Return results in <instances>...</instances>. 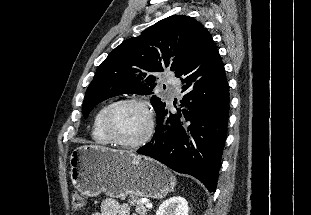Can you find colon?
<instances>
[{"label":"colon","instance_id":"colon-1","mask_svg":"<svg viewBox=\"0 0 311 215\" xmlns=\"http://www.w3.org/2000/svg\"><path fill=\"white\" fill-rule=\"evenodd\" d=\"M71 205L74 211H82L85 209L86 202L82 195L79 193H73Z\"/></svg>","mask_w":311,"mask_h":215}]
</instances>
